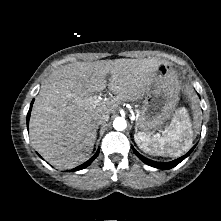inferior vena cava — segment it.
Instances as JSON below:
<instances>
[{
	"mask_svg": "<svg viewBox=\"0 0 221 221\" xmlns=\"http://www.w3.org/2000/svg\"><path fill=\"white\" fill-rule=\"evenodd\" d=\"M93 119L94 123L98 127V125L104 124L109 120V115L103 113H97Z\"/></svg>",
	"mask_w": 221,
	"mask_h": 221,
	"instance_id": "inferior-vena-cava-1",
	"label": "inferior vena cava"
}]
</instances>
